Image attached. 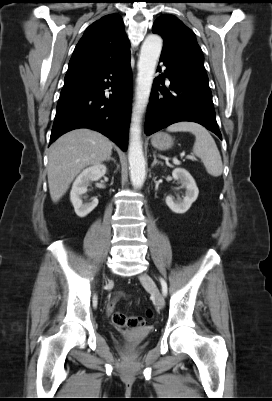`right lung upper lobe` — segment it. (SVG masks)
<instances>
[{
    "label": "right lung upper lobe",
    "instance_id": "obj_1",
    "mask_svg": "<svg viewBox=\"0 0 272 401\" xmlns=\"http://www.w3.org/2000/svg\"><path fill=\"white\" fill-rule=\"evenodd\" d=\"M129 53L122 18L106 15L92 23L76 45L64 85L96 75Z\"/></svg>",
    "mask_w": 272,
    "mask_h": 401
}]
</instances>
